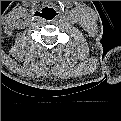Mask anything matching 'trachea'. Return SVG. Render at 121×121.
<instances>
[{"mask_svg":"<svg viewBox=\"0 0 121 121\" xmlns=\"http://www.w3.org/2000/svg\"><path fill=\"white\" fill-rule=\"evenodd\" d=\"M56 16V12L52 8H46L43 11V18L46 20H52Z\"/></svg>","mask_w":121,"mask_h":121,"instance_id":"1","label":"trachea"}]
</instances>
